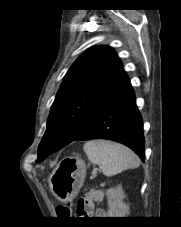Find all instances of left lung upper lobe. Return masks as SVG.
Wrapping results in <instances>:
<instances>
[{"label": "left lung upper lobe", "instance_id": "1", "mask_svg": "<svg viewBox=\"0 0 181 227\" xmlns=\"http://www.w3.org/2000/svg\"><path fill=\"white\" fill-rule=\"evenodd\" d=\"M127 79L111 47L95 46L83 53L68 70L56 95L36 162L73 142L96 109Z\"/></svg>", "mask_w": 181, "mask_h": 227}]
</instances>
